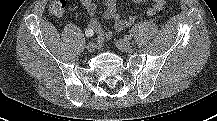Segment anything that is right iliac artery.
Wrapping results in <instances>:
<instances>
[{
	"mask_svg": "<svg viewBox=\"0 0 217 121\" xmlns=\"http://www.w3.org/2000/svg\"><path fill=\"white\" fill-rule=\"evenodd\" d=\"M96 42L99 44V43H100V40L97 38V39H96Z\"/></svg>",
	"mask_w": 217,
	"mask_h": 121,
	"instance_id": "right-iliac-artery-1",
	"label": "right iliac artery"
}]
</instances>
